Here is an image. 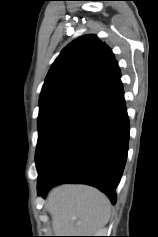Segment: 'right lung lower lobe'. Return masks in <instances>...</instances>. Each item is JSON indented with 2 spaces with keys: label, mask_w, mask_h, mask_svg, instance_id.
<instances>
[{
  "label": "right lung lower lobe",
  "mask_w": 158,
  "mask_h": 237,
  "mask_svg": "<svg viewBox=\"0 0 158 237\" xmlns=\"http://www.w3.org/2000/svg\"><path fill=\"white\" fill-rule=\"evenodd\" d=\"M129 120L119 80L80 105L36 150L38 194L54 185L84 183L104 192L113 204L125 166Z\"/></svg>",
  "instance_id": "right-lung-lower-lobe-1"
}]
</instances>
